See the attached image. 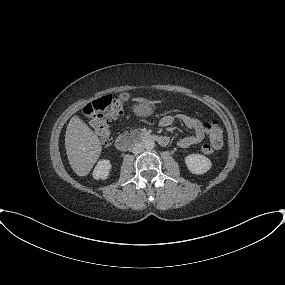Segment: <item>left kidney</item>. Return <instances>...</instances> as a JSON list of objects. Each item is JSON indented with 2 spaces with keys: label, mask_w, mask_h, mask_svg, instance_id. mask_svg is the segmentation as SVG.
Listing matches in <instances>:
<instances>
[{
  "label": "left kidney",
  "mask_w": 285,
  "mask_h": 285,
  "mask_svg": "<svg viewBox=\"0 0 285 285\" xmlns=\"http://www.w3.org/2000/svg\"><path fill=\"white\" fill-rule=\"evenodd\" d=\"M185 164L188 170L196 175H201L210 170L212 163L204 155L200 154H191L185 158Z\"/></svg>",
  "instance_id": "5707ae66"
}]
</instances>
